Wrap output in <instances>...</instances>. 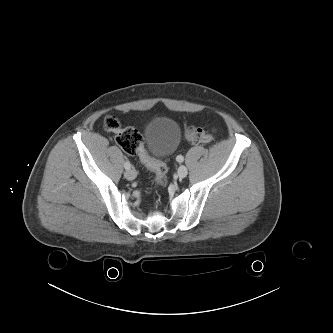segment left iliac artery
<instances>
[{
    "label": "left iliac artery",
    "instance_id": "left-iliac-artery-1",
    "mask_svg": "<svg viewBox=\"0 0 333 333\" xmlns=\"http://www.w3.org/2000/svg\"><path fill=\"white\" fill-rule=\"evenodd\" d=\"M176 160H177V162L181 163V162L184 161V157H183L182 155H178V156L176 157Z\"/></svg>",
    "mask_w": 333,
    "mask_h": 333
}]
</instances>
